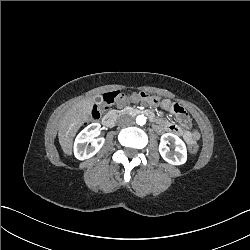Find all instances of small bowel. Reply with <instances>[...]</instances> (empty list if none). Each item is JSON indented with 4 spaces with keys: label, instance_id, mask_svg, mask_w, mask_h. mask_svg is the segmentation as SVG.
<instances>
[{
    "label": "small bowel",
    "instance_id": "small-bowel-1",
    "mask_svg": "<svg viewBox=\"0 0 250 250\" xmlns=\"http://www.w3.org/2000/svg\"><path fill=\"white\" fill-rule=\"evenodd\" d=\"M129 99L131 101H133V102L137 101L138 100L137 99V93L131 94ZM161 105H162V107L164 109L173 110V107H174V105H172V103L169 100H162ZM168 127H169V129H172L173 131H176V132L182 131V129L178 125L171 124V125L168 126L167 124H165L163 122H159L157 124V128L160 129V130H162L164 128L167 129ZM198 137H199V134H198L197 131H195V130L188 131V138H189L190 141L195 142L198 139Z\"/></svg>",
    "mask_w": 250,
    "mask_h": 250
}]
</instances>
